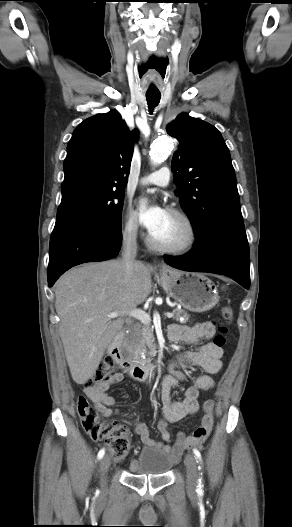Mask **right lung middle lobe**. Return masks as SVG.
Instances as JSON below:
<instances>
[{
    "instance_id": "obj_1",
    "label": "right lung middle lobe",
    "mask_w": 292,
    "mask_h": 527,
    "mask_svg": "<svg viewBox=\"0 0 292 527\" xmlns=\"http://www.w3.org/2000/svg\"><path fill=\"white\" fill-rule=\"evenodd\" d=\"M124 188L78 179L62 184L57 217L74 215L121 230Z\"/></svg>"
}]
</instances>
